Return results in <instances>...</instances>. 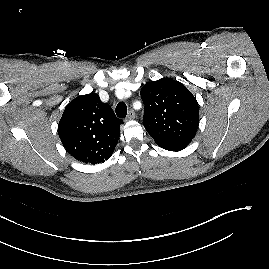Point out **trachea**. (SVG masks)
<instances>
[{
	"label": "trachea",
	"mask_w": 269,
	"mask_h": 269,
	"mask_svg": "<svg viewBox=\"0 0 269 269\" xmlns=\"http://www.w3.org/2000/svg\"><path fill=\"white\" fill-rule=\"evenodd\" d=\"M116 115L120 118H124L127 115V107L124 102H120L116 106Z\"/></svg>",
	"instance_id": "1"
}]
</instances>
